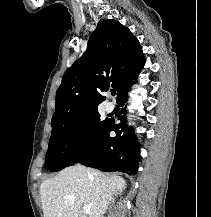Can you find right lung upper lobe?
<instances>
[{"mask_svg": "<svg viewBox=\"0 0 211 217\" xmlns=\"http://www.w3.org/2000/svg\"><path fill=\"white\" fill-rule=\"evenodd\" d=\"M145 64L137 38L120 22L99 21L87 51L64 73L56 92L52 128L97 111L109 86L117 99Z\"/></svg>", "mask_w": 211, "mask_h": 217, "instance_id": "right-lung-upper-lobe-1", "label": "right lung upper lobe"}]
</instances>
